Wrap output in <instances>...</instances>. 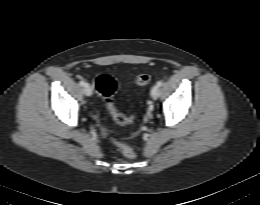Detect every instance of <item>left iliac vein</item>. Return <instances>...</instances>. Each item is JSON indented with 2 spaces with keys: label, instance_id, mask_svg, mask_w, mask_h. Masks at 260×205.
<instances>
[{
  "label": "left iliac vein",
  "instance_id": "obj_1",
  "mask_svg": "<svg viewBox=\"0 0 260 205\" xmlns=\"http://www.w3.org/2000/svg\"><path fill=\"white\" fill-rule=\"evenodd\" d=\"M160 95V88L158 85H154L151 89V97L156 100Z\"/></svg>",
  "mask_w": 260,
  "mask_h": 205
}]
</instances>
